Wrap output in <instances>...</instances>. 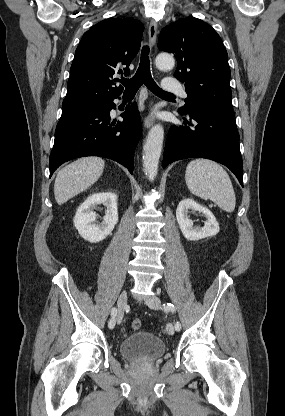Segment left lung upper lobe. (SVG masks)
<instances>
[{
	"label": "left lung upper lobe",
	"instance_id": "5c2ea615",
	"mask_svg": "<svg viewBox=\"0 0 285 416\" xmlns=\"http://www.w3.org/2000/svg\"><path fill=\"white\" fill-rule=\"evenodd\" d=\"M158 48L175 55L174 76L185 82L188 97L180 113L202 108L233 110L228 54L209 24L194 17L178 19L162 29Z\"/></svg>",
	"mask_w": 285,
	"mask_h": 416
}]
</instances>
